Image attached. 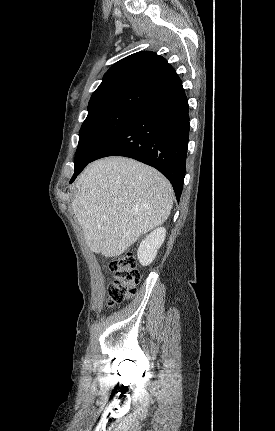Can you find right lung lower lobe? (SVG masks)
I'll return each mask as SVG.
<instances>
[{"label": "right lung lower lobe", "instance_id": "1", "mask_svg": "<svg viewBox=\"0 0 275 431\" xmlns=\"http://www.w3.org/2000/svg\"><path fill=\"white\" fill-rule=\"evenodd\" d=\"M189 106L182 84L140 107L90 162L125 156L148 164L171 182L179 201L185 177ZM82 170L75 173L72 183Z\"/></svg>", "mask_w": 275, "mask_h": 431}]
</instances>
